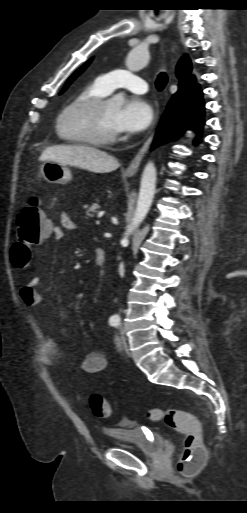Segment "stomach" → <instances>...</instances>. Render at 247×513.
<instances>
[{"label":"stomach","instance_id":"obj_1","mask_svg":"<svg viewBox=\"0 0 247 513\" xmlns=\"http://www.w3.org/2000/svg\"><path fill=\"white\" fill-rule=\"evenodd\" d=\"M40 172L43 178L51 184H66L72 179L71 171L64 165L54 161H45Z\"/></svg>","mask_w":247,"mask_h":513}]
</instances>
